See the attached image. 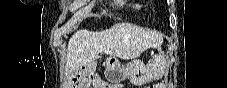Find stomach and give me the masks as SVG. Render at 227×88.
<instances>
[{
    "instance_id": "1",
    "label": "stomach",
    "mask_w": 227,
    "mask_h": 88,
    "mask_svg": "<svg viewBox=\"0 0 227 88\" xmlns=\"http://www.w3.org/2000/svg\"><path fill=\"white\" fill-rule=\"evenodd\" d=\"M166 70V59L163 51L158 50V54L147 63L132 61L126 65L115 57L106 60V74L111 82L119 83L129 78L134 85H143L156 78L161 77Z\"/></svg>"
}]
</instances>
